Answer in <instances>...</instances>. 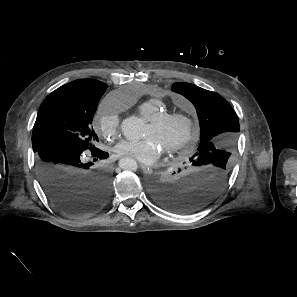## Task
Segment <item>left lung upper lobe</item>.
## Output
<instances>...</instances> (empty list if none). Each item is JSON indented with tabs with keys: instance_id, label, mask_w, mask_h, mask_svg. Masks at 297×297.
Returning <instances> with one entry per match:
<instances>
[{
	"instance_id": "1",
	"label": "left lung upper lobe",
	"mask_w": 297,
	"mask_h": 297,
	"mask_svg": "<svg viewBox=\"0 0 297 297\" xmlns=\"http://www.w3.org/2000/svg\"><path fill=\"white\" fill-rule=\"evenodd\" d=\"M172 90L190 100L198 113L201 141L191 158L216 161L230 170L240 131L238 116L231 105L218 93L190 83L177 82Z\"/></svg>"
}]
</instances>
